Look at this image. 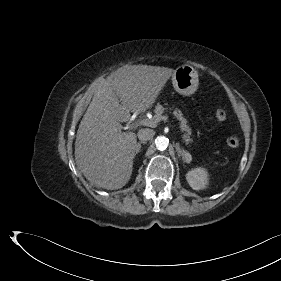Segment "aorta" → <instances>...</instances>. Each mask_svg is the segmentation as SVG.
<instances>
[{
	"label": "aorta",
	"instance_id": "1",
	"mask_svg": "<svg viewBox=\"0 0 281 281\" xmlns=\"http://www.w3.org/2000/svg\"><path fill=\"white\" fill-rule=\"evenodd\" d=\"M155 144L158 150H165L168 147L169 139L165 136H159L155 140Z\"/></svg>",
	"mask_w": 281,
	"mask_h": 281
}]
</instances>
